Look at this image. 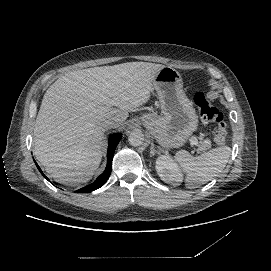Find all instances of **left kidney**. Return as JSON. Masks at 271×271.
<instances>
[{
  "label": "left kidney",
  "mask_w": 271,
  "mask_h": 271,
  "mask_svg": "<svg viewBox=\"0 0 271 271\" xmlns=\"http://www.w3.org/2000/svg\"><path fill=\"white\" fill-rule=\"evenodd\" d=\"M156 169L163 182L174 185L179 184L180 175L176 170L175 164L167 156L158 158Z\"/></svg>",
  "instance_id": "5707ae66"
}]
</instances>
